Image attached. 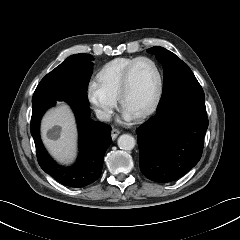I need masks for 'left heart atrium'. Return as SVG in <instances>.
I'll list each match as a JSON object with an SVG mask.
<instances>
[{
	"label": "left heart atrium",
	"instance_id": "left-heart-atrium-1",
	"mask_svg": "<svg viewBox=\"0 0 240 240\" xmlns=\"http://www.w3.org/2000/svg\"><path fill=\"white\" fill-rule=\"evenodd\" d=\"M123 118L125 120H130L131 118H133L132 116L128 115L127 113L123 112Z\"/></svg>",
	"mask_w": 240,
	"mask_h": 240
}]
</instances>
